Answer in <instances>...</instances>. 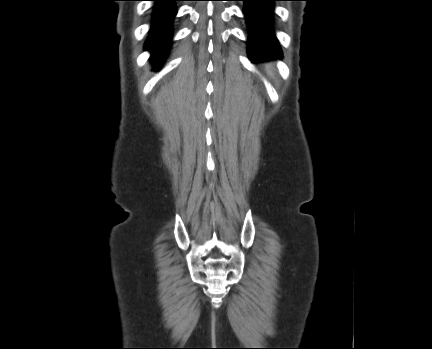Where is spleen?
Listing matches in <instances>:
<instances>
[{
	"label": "spleen",
	"instance_id": "obj_1",
	"mask_svg": "<svg viewBox=\"0 0 432 349\" xmlns=\"http://www.w3.org/2000/svg\"><path fill=\"white\" fill-rule=\"evenodd\" d=\"M266 69H267L268 74H269L270 76H272V75H273V72H272V67H271L270 64L266 65Z\"/></svg>",
	"mask_w": 432,
	"mask_h": 349
}]
</instances>
